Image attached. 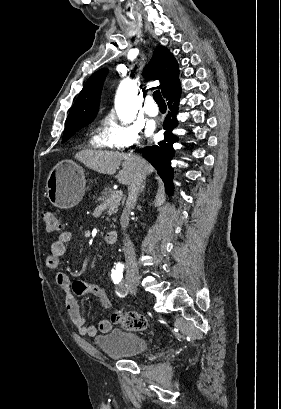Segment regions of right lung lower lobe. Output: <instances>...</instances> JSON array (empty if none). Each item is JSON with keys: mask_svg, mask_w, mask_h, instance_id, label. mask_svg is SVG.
Masks as SVG:
<instances>
[{"mask_svg": "<svg viewBox=\"0 0 281 409\" xmlns=\"http://www.w3.org/2000/svg\"><path fill=\"white\" fill-rule=\"evenodd\" d=\"M181 95L180 83L165 97L168 101V107L170 112L165 118L162 127L166 130L164 132V140L159 142L158 145L151 147H145L143 149L144 157L152 163L157 169L158 174L165 183V187L168 194L172 193V168H171V155L174 154L172 145L177 142L178 138L172 134V130L177 127L176 112L178 110L179 100Z\"/></svg>", "mask_w": 281, "mask_h": 409, "instance_id": "obj_1", "label": "right lung lower lobe"}]
</instances>
